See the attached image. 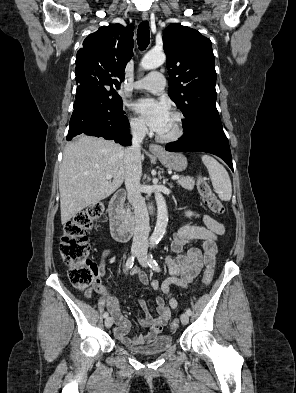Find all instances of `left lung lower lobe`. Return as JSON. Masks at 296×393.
<instances>
[{
  "label": "left lung lower lobe",
  "mask_w": 296,
  "mask_h": 393,
  "mask_svg": "<svg viewBox=\"0 0 296 393\" xmlns=\"http://www.w3.org/2000/svg\"><path fill=\"white\" fill-rule=\"evenodd\" d=\"M184 130L179 140L166 145L167 151L211 153L222 158L233 170L228 139L223 131L219 115L201 117Z\"/></svg>",
  "instance_id": "obj_1"
}]
</instances>
